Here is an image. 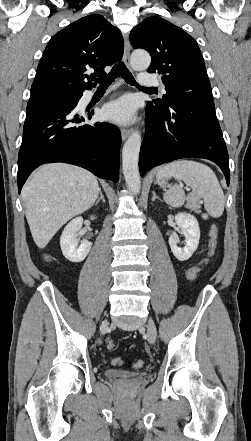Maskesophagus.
Returning <instances> with one entry per match:
<instances>
[{
	"instance_id": "34e87169",
	"label": "esophagus",
	"mask_w": 251,
	"mask_h": 441,
	"mask_svg": "<svg viewBox=\"0 0 251 441\" xmlns=\"http://www.w3.org/2000/svg\"><path fill=\"white\" fill-rule=\"evenodd\" d=\"M130 50H131L130 43H129V41H126L125 47H124L123 59H124V62L127 66L130 65ZM130 134H131V129H129V128H122L121 129L122 140H126Z\"/></svg>"
}]
</instances>
